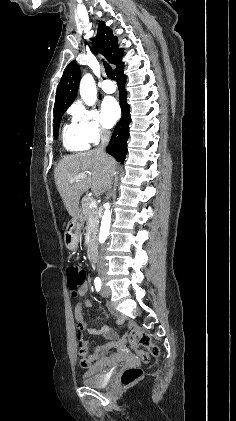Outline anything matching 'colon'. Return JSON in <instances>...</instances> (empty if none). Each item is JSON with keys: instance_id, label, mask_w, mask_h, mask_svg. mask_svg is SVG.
<instances>
[{"instance_id": "5ec220e1", "label": "colon", "mask_w": 236, "mask_h": 421, "mask_svg": "<svg viewBox=\"0 0 236 421\" xmlns=\"http://www.w3.org/2000/svg\"><path fill=\"white\" fill-rule=\"evenodd\" d=\"M67 281L69 289L74 296L80 295V291L85 286L86 271L79 265H72L67 269ZM130 344L142 361H149L151 357L159 356L160 350L154 345L147 332L139 327H134L130 335ZM80 346L81 343H80ZM83 349L81 350V352ZM142 370L139 367H130L123 371L120 383L124 387H129L142 377Z\"/></svg>"}]
</instances>
